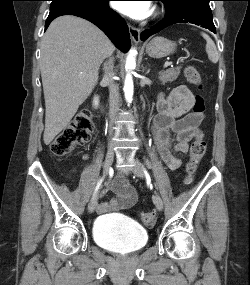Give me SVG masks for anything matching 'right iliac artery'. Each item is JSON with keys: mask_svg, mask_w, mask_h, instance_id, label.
Segmentation results:
<instances>
[{"mask_svg": "<svg viewBox=\"0 0 250 285\" xmlns=\"http://www.w3.org/2000/svg\"><path fill=\"white\" fill-rule=\"evenodd\" d=\"M102 180L98 183L96 190L99 188L100 184H101Z\"/></svg>", "mask_w": 250, "mask_h": 285, "instance_id": "right-iliac-artery-1", "label": "right iliac artery"}]
</instances>
